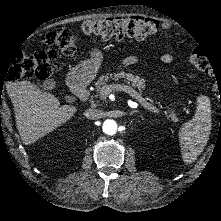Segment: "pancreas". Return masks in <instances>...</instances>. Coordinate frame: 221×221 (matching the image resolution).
Here are the masks:
<instances>
[{"label": "pancreas", "instance_id": "pancreas-1", "mask_svg": "<svg viewBox=\"0 0 221 221\" xmlns=\"http://www.w3.org/2000/svg\"><path fill=\"white\" fill-rule=\"evenodd\" d=\"M124 80L135 87V91L144 101L154 103L158 109H165L167 116H174L176 114V107L174 105H167V99L161 96L158 90L145 88L143 85L145 78L135 76L132 72L125 73L123 70L111 71L98 77L95 80V86L98 89H103L112 82H123ZM112 86H115V84Z\"/></svg>", "mask_w": 221, "mask_h": 221}]
</instances>
